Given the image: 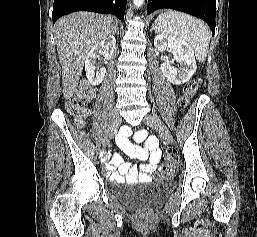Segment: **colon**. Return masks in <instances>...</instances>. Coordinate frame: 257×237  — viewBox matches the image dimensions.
Here are the masks:
<instances>
[{
  "instance_id": "obj_1",
  "label": "colon",
  "mask_w": 257,
  "mask_h": 237,
  "mask_svg": "<svg viewBox=\"0 0 257 237\" xmlns=\"http://www.w3.org/2000/svg\"><path fill=\"white\" fill-rule=\"evenodd\" d=\"M200 87V80H190L184 87L183 96L180 98V105L187 106L190 103L193 95L198 91ZM93 96V90L86 82H81L75 91L73 97L68 103V111L74 117L75 121L82 125L90 113L91 99ZM178 164V158L175 152H168V160L157 171L158 179H168L174 173Z\"/></svg>"
}]
</instances>
